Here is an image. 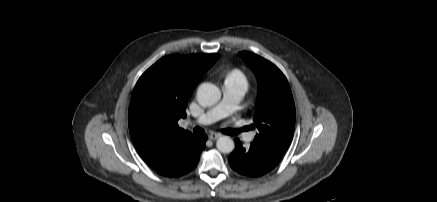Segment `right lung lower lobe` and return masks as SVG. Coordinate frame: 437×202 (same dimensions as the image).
<instances>
[{"label":"right lung lower lobe","instance_id":"right-lung-lower-lobe-1","mask_svg":"<svg viewBox=\"0 0 437 202\" xmlns=\"http://www.w3.org/2000/svg\"><path fill=\"white\" fill-rule=\"evenodd\" d=\"M206 135L193 136L184 147L154 170L164 177H181L190 173L198 164L199 156L206 146Z\"/></svg>","mask_w":437,"mask_h":202}]
</instances>
